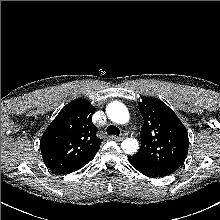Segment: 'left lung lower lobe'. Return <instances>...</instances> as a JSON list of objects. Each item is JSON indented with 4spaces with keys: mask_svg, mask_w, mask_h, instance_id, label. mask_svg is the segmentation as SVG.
Wrapping results in <instances>:
<instances>
[{
    "mask_svg": "<svg viewBox=\"0 0 220 220\" xmlns=\"http://www.w3.org/2000/svg\"><path fill=\"white\" fill-rule=\"evenodd\" d=\"M128 159L132 166L137 169L140 173L149 176V177H164L167 174L166 172L158 169L152 164L146 162L145 160L137 157V156H128Z\"/></svg>",
    "mask_w": 220,
    "mask_h": 220,
    "instance_id": "left-lung-lower-lobe-1",
    "label": "left lung lower lobe"
}]
</instances>
